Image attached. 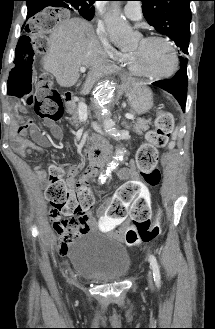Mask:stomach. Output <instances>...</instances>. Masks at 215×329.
Instances as JSON below:
<instances>
[{
    "instance_id": "obj_1",
    "label": "stomach",
    "mask_w": 215,
    "mask_h": 329,
    "mask_svg": "<svg viewBox=\"0 0 215 329\" xmlns=\"http://www.w3.org/2000/svg\"><path fill=\"white\" fill-rule=\"evenodd\" d=\"M125 93L131 111L134 114H144L153 107L152 91L141 83L130 82L125 85Z\"/></svg>"
}]
</instances>
